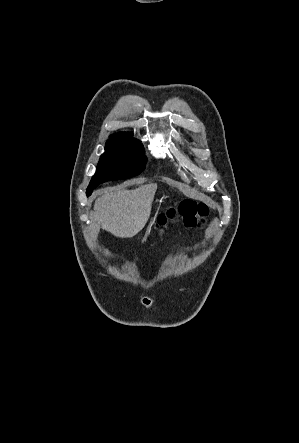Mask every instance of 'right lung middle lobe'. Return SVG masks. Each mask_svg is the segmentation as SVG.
I'll list each match as a JSON object with an SVG mask.
<instances>
[{
  "mask_svg": "<svg viewBox=\"0 0 299 443\" xmlns=\"http://www.w3.org/2000/svg\"><path fill=\"white\" fill-rule=\"evenodd\" d=\"M139 141L131 137L110 138L99 160L97 172L87 188V196L101 183L127 179L140 174L146 158Z\"/></svg>",
  "mask_w": 299,
  "mask_h": 443,
  "instance_id": "1",
  "label": "right lung middle lobe"
}]
</instances>
